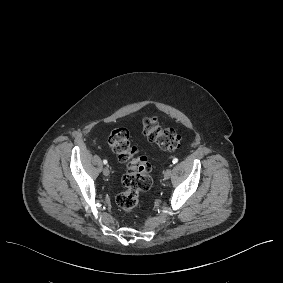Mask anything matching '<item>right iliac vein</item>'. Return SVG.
I'll return each mask as SVG.
<instances>
[{"label": "right iliac vein", "mask_w": 283, "mask_h": 283, "mask_svg": "<svg viewBox=\"0 0 283 283\" xmlns=\"http://www.w3.org/2000/svg\"><path fill=\"white\" fill-rule=\"evenodd\" d=\"M102 172H103V175H105V176H108L110 174L108 167H104Z\"/></svg>", "instance_id": "63e3f726"}]
</instances>
